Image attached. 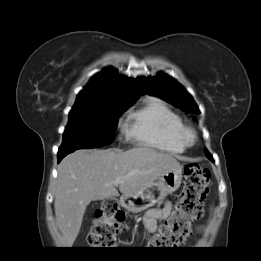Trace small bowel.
<instances>
[{
	"label": "small bowel",
	"instance_id": "small-bowel-1",
	"mask_svg": "<svg viewBox=\"0 0 261 261\" xmlns=\"http://www.w3.org/2000/svg\"><path fill=\"white\" fill-rule=\"evenodd\" d=\"M172 210V205L170 202H166L161 208L153 209L147 214L146 223L151 231L157 229V224L159 221L166 219Z\"/></svg>",
	"mask_w": 261,
	"mask_h": 261
}]
</instances>
